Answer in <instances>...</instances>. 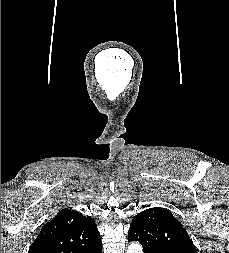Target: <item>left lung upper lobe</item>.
I'll use <instances>...</instances> for the list:
<instances>
[{
  "mask_svg": "<svg viewBox=\"0 0 229 253\" xmlns=\"http://www.w3.org/2000/svg\"><path fill=\"white\" fill-rule=\"evenodd\" d=\"M139 241L144 253H197L182 224L165 208L154 207L136 215L128 241Z\"/></svg>",
  "mask_w": 229,
  "mask_h": 253,
  "instance_id": "5c2ea615",
  "label": "left lung upper lobe"
}]
</instances>
